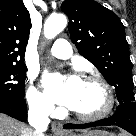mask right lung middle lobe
<instances>
[{
	"mask_svg": "<svg viewBox=\"0 0 136 136\" xmlns=\"http://www.w3.org/2000/svg\"><path fill=\"white\" fill-rule=\"evenodd\" d=\"M24 64H0V101L24 100Z\"/></svg>",
	"mask_w": 136,
	"mask_h": 136,
	"instance_id": "right-lung-middle-lobe-1",
	"label": "right lung middle lobe"
}]
</instances>
